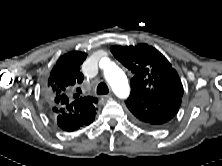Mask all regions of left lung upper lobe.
I'll use <instances>...</instances> for the list:
<instances>
[{
    "mask_svg": "<svg viewBox=\"0 0 222 166\" xmlns=\"http://www.w3.org/2000/svg\"><path fill=\"white\" fill-rule=\"evenodd\" d=\"M111 52L134 73L130 83V96H144L151 99L160 94L183 96V86L176 70L155 48L147 44H138L135 47L114 45L111 47Z\"/></svg>",
    "mask_w": 222,
    "mask_h": 166,
    "instance_id": "obj_1",
    "label": "left lung upper lobe"
}]
</instances>
